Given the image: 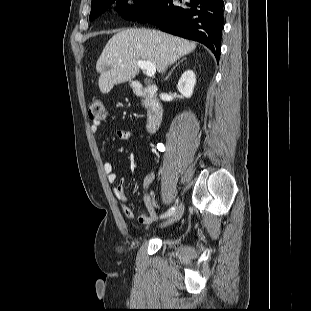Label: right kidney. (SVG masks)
Masks as SVG:
<instances>
[{"instance_id": "right-kidney-1", "label": "right kidney", "mask_w": 311, "mask_h": 311, "mask_svg": "<svg viewBox=\"0 0 311 311\" xmlns=\"http://www.w3.org/2000/svg\"><path fill=\"white\" fill-rule=\"evenodd\" d=\"M195 84L196 77L194 72L192 70H187L181 76L177 88L184 97L190 98L193 93Z\"/></svg>"}]
</instances>
